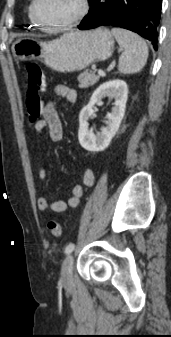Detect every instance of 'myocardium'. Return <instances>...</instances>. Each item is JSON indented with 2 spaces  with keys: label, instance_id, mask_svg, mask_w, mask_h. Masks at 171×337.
Here are the masks:
<instances>
[{
  "label": "myocardium",
  "instance_id": "obj_1",
  "mask_svg": "<svg viewBox=\"0 0 171 337\" xmlns=\"http://www.w3.org/2000/svg\"><path fill=\"white\" fill-rule=\"evenodd\" d=\"M38 2L39 0H32V3H31L32 18L38 24L39 27L49 32L64 31V30L74 27L86 17V15L89 12V8H90L88 0H79L80 9L78 13L72 19H70L69 21L63 24L51 26V25L46 24L40 19L38 12H37Z\"/></svg>",
  "mask_w": 171,
  "mask_h": 337
}]
</instances>
